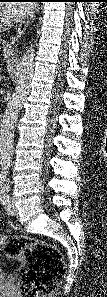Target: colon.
<instances>
[{
  "mask_svg": "<svg viewBox=\"0 0 107 297\" xmlns=\"http://www.w3.org/2000/svg\"><path fill=\"white\" fill-rule=\"evenodd\" d=\"M0 244L6 256L22 263L17 286L24 297H44L56 289L65 263L54 246L23 235H2Z\"/></svg>",
  "mask_w": 107,
  "mask_h": 297,
  "instance_id": "colon-1",
  "label": "colon"
}]
</instances>
